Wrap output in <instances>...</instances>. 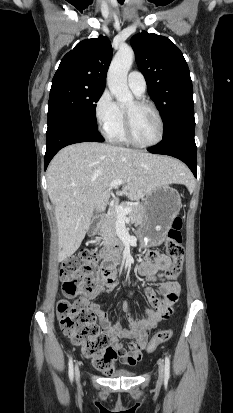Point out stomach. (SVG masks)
I'll list each match as a JSON object with an SVG mask.
<instances>
[{"mask_svg": "<svg viewBox=\"0 0 233 413\" xmlns=\"http://www.w3.org/2000/svg\"><path fill=\"white\" fill-rule=\"evenodd\" d=\"M180 208L181 198L176 189L169 185L154 188L143 200L144 221L139 236L148 245H161Z\"/></svg>", "mask_w": 233, "mask_h": 413, "instance_id": "stomach-1", "label": "stomach"}]
</instances>
